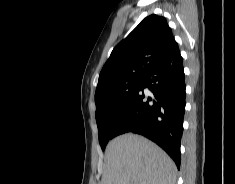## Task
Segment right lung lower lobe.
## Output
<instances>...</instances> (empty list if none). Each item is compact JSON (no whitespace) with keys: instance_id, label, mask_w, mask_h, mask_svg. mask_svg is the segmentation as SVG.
<instances>
[{"instance_id":"right-lung-lower-lobe-1","label":"right lung lower lobe","mask_w":235,"mask_h":184,"mask_svg":"<svg viewBox=\"0 0 235 184\" xmlns=\"http://www.w3.org/2000/svg\"><path fill=\"white\" fill-rule=\"evenodd\" d=\"M148 88L153 98L143 89ZM185 75L178 50L143 79L115 129L116 136L133 132L158 144L180 167V144L185 113Z\"/></svg>"}]
</instances>
